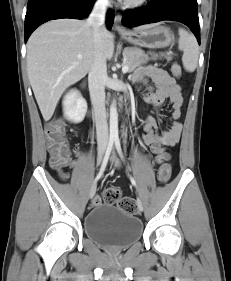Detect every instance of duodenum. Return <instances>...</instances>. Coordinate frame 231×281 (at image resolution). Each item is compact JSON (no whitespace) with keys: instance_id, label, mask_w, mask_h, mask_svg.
<instances>
[{"instance_id":"410a0bca","label":"duodenum","mask_w":231,"mask_h":281,"mask_svg":"<svg viewBox=\"0 0 231 281\" xmlns=\"http://www.w3.org/2000/svg\"><path fill=\"white\" fill-rule=\"evenodd\" d=\"M130 109H131V105H130L129 102H127V103H126V106H125V110H126V111H130Z\"/></svg>"}]
</instances>
